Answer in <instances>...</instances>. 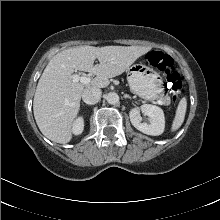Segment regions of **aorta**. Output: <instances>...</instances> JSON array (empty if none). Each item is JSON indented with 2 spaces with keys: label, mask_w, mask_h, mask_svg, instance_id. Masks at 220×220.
<instances>
[{
  "label": "aorta",
  "mask_w": 220,
  "mask_h": 220,
  "mask_svg": "<svg viewBox=\"0 0 220 220\" xmlns=\"http://www.w3.org/2000/svg\"><path fill=\"white\" fill-rule=\"evenodd\" d=\"M106 100L109 104L111 105H115L119 102V96L117 93L115 92H109L107 95H106Z\"/></svg>",
  "instance_id": "1"
}]
</instances>
